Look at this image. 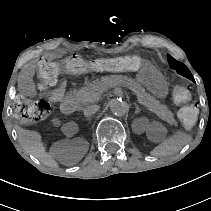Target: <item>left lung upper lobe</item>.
I'll return each instance as SVG.
<instances>
[{"label":"left lung upper lobe","mask_w":211,"mask_h":211,"mask_svg":"<svg viewBox=\"0 0 211 211\" xmlns=\"http://www.w3.org/2000/svg\"><path fill=\"white\" fill-rule=\"evenodd\" d=\"M167 58L170 68L176 70L178 74L194 81L193 75L191 74L190 70L187 68L186 65L181 62H178L170 55H167Z\"/></svg>","instance_id":"5c2ea615"}]
</instances>
